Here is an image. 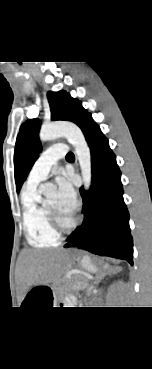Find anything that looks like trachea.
Segmentation results:
<instances>
[{
  "label": "trachea",
  "instance_id": "obj_1",
  "mask_svg": "<svg viewBox=\"0 0 152 369\" xmlns=\"http://www.w3.org/2000/svg\"><path fill=\"white\" fill-rule=\"evenodd\" d=\"M73 157H74V155H73V153H71V152H70V153H68V154H67V156H66V158H73Z\"/></svg>",
  "mask_w": 152,
  "mask_h": 369
}]
</instances>
